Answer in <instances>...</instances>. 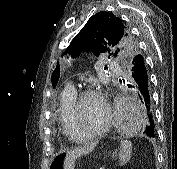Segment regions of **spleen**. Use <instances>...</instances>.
Wrapping results in <instances>:
<instances>
[{
	"label": "spleen",
	"mask_w": 177,
	"mask_h": 169,
	"mask_svg": "<svg viewBox=\"0 0 177 169\" xmlns=\"http://www.w3.org/2000/svg\"><path fill=\"white\" fill-rule=\"evenodd\" d=\"M132 143L128 140L121 141V150L119 152L120 165H125L131 157Z\"/></svg>",
	"instance_id": "3e777b00"
}]
</instances>
